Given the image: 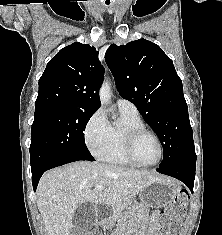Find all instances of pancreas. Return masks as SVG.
<instances>
[{"label": "pancreas", "mask_w": 222, "mask_h": 235, "mask_svg": "<svg viewBox=\"0 0 222 235\" xmlns=\"http://www.w3.org/2000/svg\"><path fill=\"white\" fill-rule=\"evenodd\" d=\"M130 202L131 201H128V203ZM124 207H125V203L118 204L113 207L114 219L119 218L121 216V211L124 209Z\"/></svg>", "instance_id": "obj_1"}]
</instances>
